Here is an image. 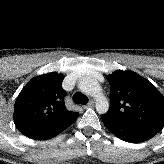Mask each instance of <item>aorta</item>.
<instances>
[{
    "mask_svg": "<svg viewBox=\"0 0 164 164\" xmlns=\"http://www.w3.org/2000/svg\"><path fill=\"white\" fill-rule=\"evenodd\" d=\"M78 87L84 94L90 95L95 98L96 110L99 114H105L109 109V103L105 95L103 94L102 88L99 83L90 77L83 78Z\"/></svg>",
    "mask_w": 164,
    "mask_h": 164,
    "instance_id": "762f6f07",
    "label": "aorta"
}]
</instances>
